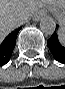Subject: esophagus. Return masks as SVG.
I'll return each mask as SVG.
<instances>
[{
	"label": "esophagus",
	"mask_w": 65,
	"mask_h": 89,
	"mask_svg": "<svg viewBox=\"0 0 65 89\" xmlns=\"http://www.w3.org/2000/svg\"><path fill=\"white\" fill-rule=\"evenodd\" d=\"M39 18H40V17L38 16V17H37V18H35L34 20H39Z\"/></svg>",
	"instance_id": "obj_1"
}]
</instances>
